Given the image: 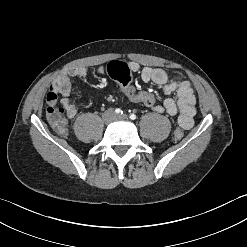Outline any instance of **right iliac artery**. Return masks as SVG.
I'll return each mask as SVG.
<instances>
[{"label":"right iliac artery","instance_id":"82829eb1","mask_svg":"<svg viewBox=\"0 0 247 247\" xmlns=\"http://www.w3.org/2000/svg\"><path fill=\"white\" fill-rule=\"evenodd\" d=\"M115 113L118 115H122L123 111L119 108L115 109Z\"/></svg>","mask_w":247,"mask_h":247}]
</instances>
